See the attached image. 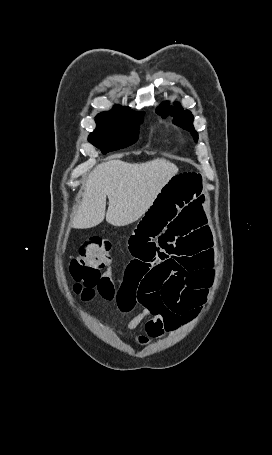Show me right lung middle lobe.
Masks as SVG:
<instances>
[{
    "label": "right lung middle lobe",
    "instance_id": "obj_1",
    "mask_svg": "<svg viewBox=\"0 0 272 455\" xmlns=\"http://www.w3.org/2000/svg\"><path fill=\"white\" fill-rule=\"evenodd\" d=\"M144 112H135L126 108L114 113H100L96 116V129L88 140L103 154L134 144L138 130L143 122Z\"/></svg>",
    "mask_w": 272,
    "mask_h": 455
}]
</instances>
